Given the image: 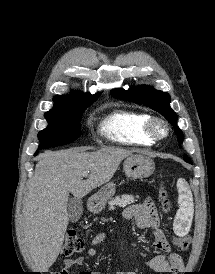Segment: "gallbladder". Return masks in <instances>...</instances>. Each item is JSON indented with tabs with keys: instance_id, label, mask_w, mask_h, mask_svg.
I'll return each instance as SVG.
<instances>
[{
	"instance_id": "bac80fb5",
	"label": "gallbladder",
	"mask_w": 215,
	"mask_h": 274,
	"mask_svg": "<svg viewBox=\"0 0 215 274\" xmlns=\"http://www.w3.org/2000/svg\"><path fill=\"white\" fill-rule=\"evenodd\" d=\"M67 211L69 219L72 222H77L83 213V202L78 198L70 199Z\"/></svg>"
}]
</instances>
